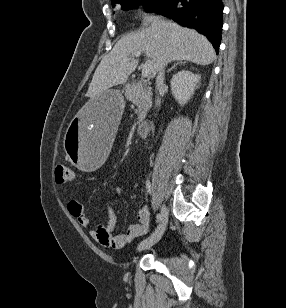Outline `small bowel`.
<instances>
[{"mask_svg": "<svg viewBox=\"0 0 286 308\" xmlns=\"http://www.w3.org/2000/svg\"><path fill=\"white\" fill-rule=\"evenodd\" d=\"M117 189L121 191V187ZM105 205L108 217L107 223L98 225L95 229L90 231V236L100 245L119 250L148 231L150 225L149 212L146 208H142L137 213L138 223L129 225L124 233L114 234V229L117 224V215L109 202H106ZM67 209L81 227L86 228L90 225V219L80 200L70 198L67 202Z\"/></svg>", "mask_w": 286, "mask_h": 308, "instance_id": "c3829d8e", "label": "small bowel"}]
</instances>
